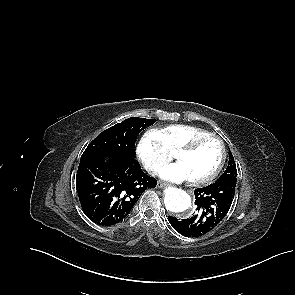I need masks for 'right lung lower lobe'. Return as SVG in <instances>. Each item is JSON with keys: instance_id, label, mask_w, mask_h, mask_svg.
<instances>
[{"instance_id": "98d812e1", "label": "right lung lower lobe", "mask_w": 295, "mask_h": 295, "mask_svg": "<svg viewBox=\"0 0 295 295\" xmlns=\"http://www.w3.org/2000/svg\"><path fill=\"white\" fill-rule=\"evenodd\" d=\"M157 180L146 175L129 154L92 158L79 164L76 186L88 217L102 226L125 219L141 194Z\"/></svg>"}]
</instances>
